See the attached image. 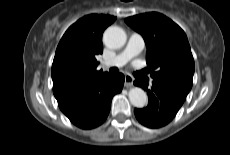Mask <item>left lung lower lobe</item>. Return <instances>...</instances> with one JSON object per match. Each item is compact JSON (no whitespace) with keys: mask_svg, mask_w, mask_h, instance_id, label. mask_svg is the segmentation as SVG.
Returning a JSON list of instances; mask_svg holds the SVG:
<instances>
[{"mask_svg":"<svg viewBox=\"0 0 230 155\" xmlns=\"http://www.w3.org/2000/svg\"><path fill=\"white\" fill-rule=\"evenodd\" d=\"M134 84L148 93V105L143 109H134L137 120L146 127L159 128L168 124L177 114L184 101L185 94L171 87L153 81L152 87L139 79Z\"/></svg>","mask_w":230,"mask_h":155,"instance_id":"0a47b994","label":"left lung lower lobe"}]
</instances>
